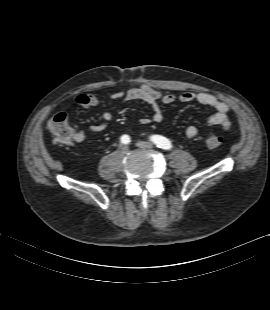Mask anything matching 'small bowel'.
I'll return each instance as SVG.
<instances>
[{
    "label": "small bowel",
    "mask_w": 270,
    "mask_h": 310,
    "mask_svg": "<svg viewBox=\"0 0 270 310\" xmlns=\"http://www.w3.org/2000/svg\"><path fill=\"white\" fill-rule=\"evenodd\" d=\"M74 100L79 106L85 109L99 107L119 100H139L146 102L152 108V116L150 118L143 117L140 119V122L144 125L150 124L151 122L158 124L163 121V113L160 104L171 105L175 102L188 103L195 101L216 110V113L207 117L206 123L208 125L221 126L225 131H228L231 128V121L228 115L231 109L230 105L206 92H185L176 96L175 94L162 93L150 86L143 85L127 91H118L109 98H101L89 93H79L75 96ZM112 119L113 115L110 111H103L100 116V121L96 124L90 125L89 131L91 133H100L104 131ZM78 132L80 135L78 142H82L85 139V134L82 131ZM184 134L189 141H192L197 136L198 129L196 126L189 125L185 128Z\"/></svg>",
    "instance_id": "small-bowel-1"
}]
</instances>
